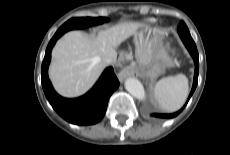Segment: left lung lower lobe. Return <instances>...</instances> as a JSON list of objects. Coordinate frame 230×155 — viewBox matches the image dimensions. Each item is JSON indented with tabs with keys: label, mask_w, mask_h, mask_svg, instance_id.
Segmentation results:
<instances>
[{
	"label": "left lung lower lobe",
	"mask_w": 230,
	"mask_h": 155,
	"mask_svg": "<svg viewBox=\"0 0 230 155\" xmlns=\"http://www.w3.org/2000/svg\"><path fill=\"white\" fill-rule=\"evenodd\" d=\"M183 43L185 44L186 48L188 49V51L190 52L194 63H195V74H194V82H193V87L192 90L190 92V95L187 99V102L185 103V105L177 112L172 113V114H161V113H153L151 116L156 117V118H163V119H169V118H174L177 115H179L183 109L185 108V106L187 105L190 97L192 96L193 92L196 89L197 83H198V73H199V56H198V51L195 45V42L193 40H189L184 38Z\"/></svg>",
	"instance_id": "left-lung-lower-lobe-1"
}]
</instances>
